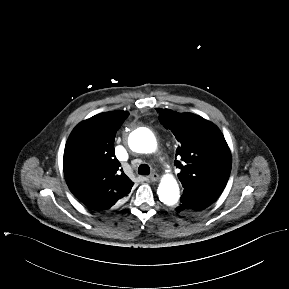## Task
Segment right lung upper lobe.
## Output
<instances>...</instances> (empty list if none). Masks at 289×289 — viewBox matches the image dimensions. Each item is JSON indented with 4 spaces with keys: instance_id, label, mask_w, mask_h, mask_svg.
I'll return each mask as SVG.
<instances>
[{
    "instance_id": "right-lung-upper-lobe-1",
    "label": "right lung upper lobe",
    "mask_w": 289,
    "mask_h": 289,
    "mask_svg": "<svg viewBox=\"0 0 289 289\" xmlns=\"http://www.w3.org/2000/svg\"><path fill=\"white\" fill-rule=\"evenodd\" d=\"M128 114L110 111L95 115L78 124L67 140L63 158L67 185L94 210L119 205L134 185L114 153L116 132Z\"/></svg>"
}]
</instances>
